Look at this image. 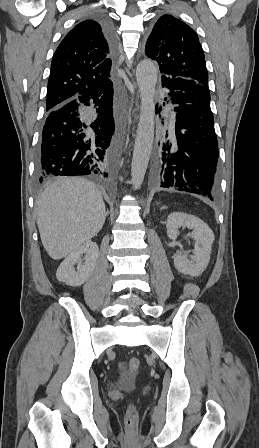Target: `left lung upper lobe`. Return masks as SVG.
<instances>
[{"instance_id":"obj_1","label":"left lung upper lobe","mask_w":259,"mask_h":448,"mask_svg":"<svg viewBox=\"0 0 259 448\" xmlns=\"http://www.w3.org/2000/svg\"><path fill=\"white\" fill-rule=\"evenodd\" d=\"M147 57L172 78L193 79L208 86L205 56L195 31L180 19L165 14L153 27L145 46Z\"/></svg>"}]
</instances>
